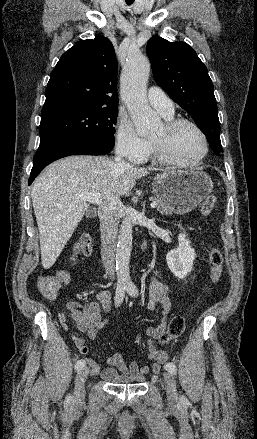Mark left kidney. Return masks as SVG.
<instances>
[{
    "label": "left kidney",
    "mask_w": 257,
    "mask_h": 439,
    "mask_svg": "<svg viewBox=\"0 0 257 439\" xmlns=\"http://www.w3.org/2000/svg\"><path fill=\"white\" fill-rule=\"evenodd\" d=\"M178 241V247L167 253L166 260L171 272L177 278L184 279L193 269L196 253L185 233L179 234Z\"/></svg>",
    "instance_id": "5707ae66"
}]
</instances>
